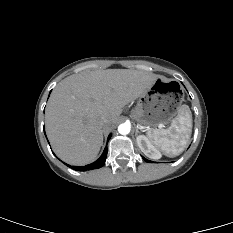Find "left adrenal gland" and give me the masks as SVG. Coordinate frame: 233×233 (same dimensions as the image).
I'll list each match as a JSON object with an SVG mask.
<instances>
[{
    "label": "left adrenal gland",
    "mask_w": 233,
    "mask_h": 233,
    "mask_svg": "<svg viewBox=\"0 0 233 233\" xmlns=\"http://www.w3.org/2000/svg\"><path fill=\"white\" fill-rule=\"evenodd\" d=\"M138 132H139V131H138V128H136V136H137ZM137 137H138V136H137Z\"/></svg>",
    "instance_id": "left-adrenal-gland-1"
}]
</instances>
